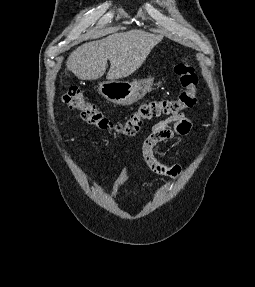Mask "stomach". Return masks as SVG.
<instances>
[{
  "instance_id": "0dacf381",
  "label": "stomach",
  "mask_w": 255,
  "mask_h": 287,
  "mask_svg": "<svg viewBox=\"0 0 255 287\" xmlns=\"http://www.w3.org/2000/svg\"><path fill=\"white\" fill-rule=\"evenodd\" d=\"M150 90H152L150 80H136V82L111 80V82H101L98 86L99 94L117 106H131L142 100Z\"/></svg>"
}]
</instances>
